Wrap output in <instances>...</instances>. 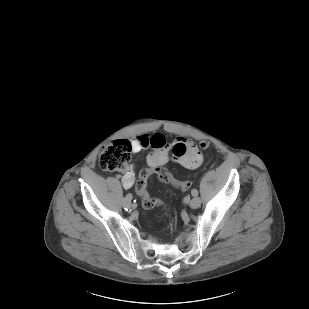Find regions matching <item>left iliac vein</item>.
<instances>
[{"label":"left iliac vein","instance_id":"4c4485c4","mask_svg":"<svg viewBox=\"0 0 309 309\" xmlns=\"http://www.w3.org/2000/svg\"><path fill=\"white\" fill-rule=\"evenodd\" d=\"M201 205V199L199 197H194L193 199H191V201L189 202V206L193 209L198 208Z\"/></svg>","mask_w":309,"mask_h":309}]
</instances>
